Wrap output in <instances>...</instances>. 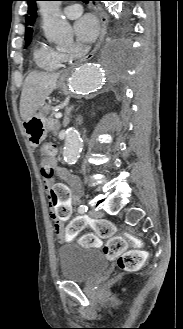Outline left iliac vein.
I'll use <instances>...</instances> for the list:
<instances>
[{
    "label": "left iliac vein",
    "mask_w": 183,
    "mask_h": 329,
    "mask_svg": "<svg viewBox=\"0 0 183 329\" xmlns=\"http://www.w3.org/2000/svg\"><path fill=\"white\" fill-rule=\"evenodd\" d=\"M89 215L93 218H99L103 216V213L100 210L90 209Z\"/></svg>",
    "instance_id": "1"
}]
</instances>
